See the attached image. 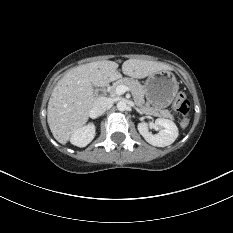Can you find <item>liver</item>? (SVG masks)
Returning a JSON list of instances; mask_svg holds the SVG:
<instances>
[{
    "label": "liver",
    "instance_id": "liver-1",
    "mask_svg": "<svg viewBox=\"0 0 233 233\" xmlns=\"http://www.w3.org/2000/svg\"><path fill=\"white\" fill-rule=\"evenodd\" d=\"M118 66L109 60L91 62L73 68L58 81L48 102L47 121L59 143L66 144L86 124L94 103L93 86L104 87L121 78ZM171 69L162 62L140 59H129L122 64L123 74L138 79Z\"/></svg>",
    "mask_w": 233,
    "mask_h": 233
}]
</instances>
